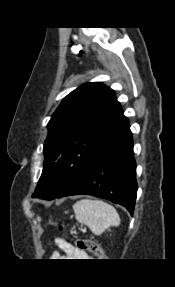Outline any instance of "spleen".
Segmentation results:
<instances>
[{"label":"spleen","mask_w":175,"mask_h":287,"mask_svg":"<svg viewBox=\"0 0 175 287\" xmlns=\"http://www.w3.org/2000/svg\"><path fill=\"white\" fill-rule=\"evenodd\" d=\"M73 209L76 220L88 226L95 235L120 223L116 209L102 200L82 199L73 205Z\"/></svg>","instance_id":"obj_1"}]
</instances>
